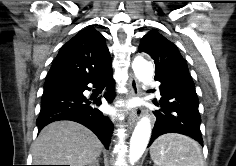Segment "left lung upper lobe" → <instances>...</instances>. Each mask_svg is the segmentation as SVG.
<instances>
[{
    "label": "left lung upper lobe",
    "mask_w": 236,
    "mask_h": 166,
    "mask_svg": "<svg viewBox=\"0 0 236 166\" xmlns=\"http://www.w3.org/2000/svg\"><path fill=\"white\" fill-rule=\"evenodd\" d=\"M139 52H145L154 59L155 79L176 72L189 73L187 64L177 47L156 31H150L142 38Z\"/></svg>",
    "instance_id": "5c2ea615"
}]
</instances>
